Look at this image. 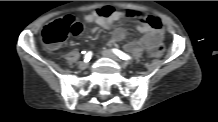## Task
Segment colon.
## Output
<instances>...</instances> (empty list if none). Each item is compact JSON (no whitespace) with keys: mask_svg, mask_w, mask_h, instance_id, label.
<instances>
[{"mask_svg":"<svg viewBox=\"0 0 218 122\" xmlns=\"http://www.w3.org/2000/svg\"><path fill=\"white\" fill-rule=\"evenodd\" d=\"M128 17L145 21L152 27H162L161 21L153 15H142L136 12L128 11ZM82 32V24L78 22L72 15H65L48 23L42 31V40L44 44L50 48H57L69 35H79ZM166 48L162 45L158 46L154 52V57L159 59L165 54Z\"/></svg>","mask_w":218,"mask_h":122,"instance_id":"1","label":"colon"}]
</instances>
